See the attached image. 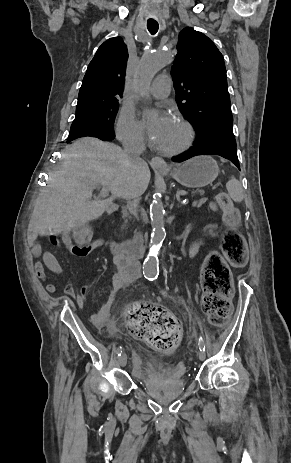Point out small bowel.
<instances>
[{"instance_id":"c3829d8e","label":"small bowel","mask_w":291,"mask_h":463,"mask_svg":"<svg viewBox=\"0 0 291 463\" xmlns=\"http://www.w3.org/2000/svg\"><path fill=\"white\" fill-rule=\"evenodd\" d=\"M62 243L75 255L77 256H86L91 253L96 248L102 247L105 245V241L98 239L92 241L81 247H74L72 244V239L69 235L64 234L61 239ZM53 244H58V240L55 237ZM200 248V244H194L189 250H185L184 253L188 256H194ZM32 252L35 257H41V260L37 261L35 264L36 275L39 280L45 282L47 280V275L44 270V266L47 267L49 271L58 276H64L61 265L59 264L56 257L49 251L43 250L40 244L34 243L32 247ZM114 261L117 268V272L112 279V294L110 300L100 309L97 314L91 315L89 320L96 327H102L110 322L111 317V306L112 302L116 296V293L129 285L131 282L136 280L139 275V264L138 261L127 255H114ZM66 286L65 293L75 299L77 305L81 309H85L87 306V291L82 289L79 293L75 292L72 282L65 278ZM46 290L49 293H54L56 291V286L54 284H47Z\"/></svg>"}]
</instances>
